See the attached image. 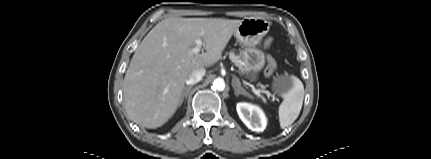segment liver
Listing matches in <instances>:
<instances>
[{
	"label": "liver",
	"instance_id": "1",
	"mask_svg": "<svg viewBox=\"0 0 431 159\" xmlns=\"http://www.w3.org/2000/svg\"><path fill=\"white\" fill-rule=\"evenodd\" d=\"M241 20L167 18L136 49L124 78L126 112L146 128L165 124L177 110L186 79L220 60ZM206 50L191 54L196 39Z\"/></svg>",
	"mask_w": 431,
	"mask_h": 159
}]
</instances>
